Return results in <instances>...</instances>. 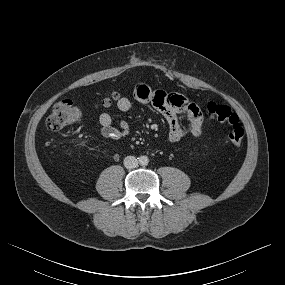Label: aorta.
Returning a JSON list of instances; mask_svg holds the SVG:
<instances>
[{
	"label": "aorta",
	"instance_id": "aorta-1",
	"mask_svg": "<svg viewBox=\"0 0 285 285\" xmlns=\"http://www.w3.org/2000/svg\"><path fill=\"white\" fill-rule=\"evenodd\" d=\"M148 163H149V159H148V157L147 156H140L139 157V164L140 165H142V166H146V165H148Z\"/></svg>",
	"mask_w": 285,
	"mask_h": 285
}]
</instances>
